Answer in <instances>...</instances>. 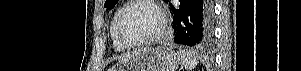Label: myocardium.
<instances>
[{
	"label": "myocardium",
	"instance_id": "obj_1",
	"mask_svg": "<svg viewBox=\"0 0 301 71\" xmlns=\"http://www.w3.org/2000/svg\"><path fill=\"white\" fill-rule=\"evenodd\" d=\"M136 4H146V5H149L152 8H154L160 17V26L155 34H153L145 39H142L140 41L132 42V41L127 40L125 38V36L123 35L122 20H123L124 14L128 10V8H130L131 6L136 5ZM167 26H168V18H167L166 12L164 11V9L160 6V4L158 2L152 1V0H132V1L127 2L120 9L117 19H116L115 29H116V35L123 45H125L126 47H129V48H137V47H143V46H147V45L157 42L165 33Z\"/></svg>",
	"mask_w": 301,
	"mask_h": 71
}]
</instances>
